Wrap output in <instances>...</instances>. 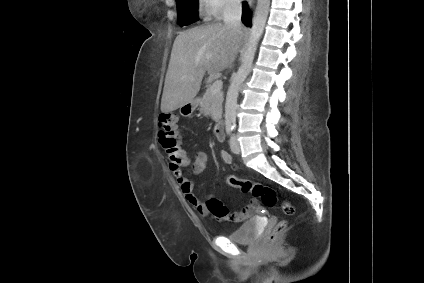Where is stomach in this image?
<instances>
[{
	"label": "stomach",
	"mask_w": 424,
	"mask_h": 283,
	"mask_svg": "<svg viewBox=\"0 0 424 283\" xmlns=\"http://www.w3.org/2000/svg\"><path fill=\"white\" fill-rule=\"evenodd\" d=\"M188 108H190L191 110H194L195 109V104H194L193 101L190 102V103L184 104L182 107H180V113L183 116H186L185 110H187Z\"/></svg>",
	"instance_id": "obj_1"
}]
</instances>
